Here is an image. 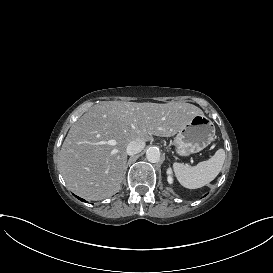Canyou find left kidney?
I'll list each match as a JSON object with an SVG mask.
<instances>
[{
    "mask_svg": "<svg viewBox=\"0 0 273 273\" xmlns=\"http://www.w3.org/2000/svg\"><path fill=\"white\" fill-rule=\"evenodd\" d=\"M168 177H167V181L169 184H172L173 183V178H172V170L171 168H168L167 171H166Z\"/></svg>",
    "mask_w": 273,
    "mask_h": 273,
    "instance_id": "1",
    "label": "left kidney"
}]
</instances>
